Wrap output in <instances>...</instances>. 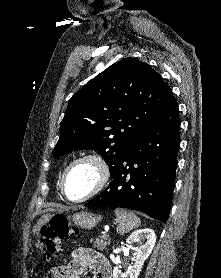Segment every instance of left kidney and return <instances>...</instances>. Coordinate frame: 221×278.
I'll return each mask as SVG.
<instances>
[{"label": "left kidney", "mask_w": 221, "mask_h": 278, "mask_svg": "<svg viewBox=\"0 0 221 278\" xmlns=\"http://www.w3.org/2000/svg\"><path fill=\"white\" fill-rule=\"evenodd\" d=\"M126 242L128 247L133 250L135 263L125 273H122L119 266L114 267L113 278H138L145 260L155 246L156 235L152 229H139L133 232ZM133 243H138L139 246L134 248Z\"/></svg>", "instance_id": "left-kidney-1"}]
</instances>
